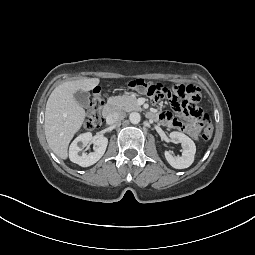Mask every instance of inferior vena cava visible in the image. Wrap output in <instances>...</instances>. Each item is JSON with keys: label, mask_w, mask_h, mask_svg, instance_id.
<instances>
[{"label": "inferior vena cava", "mask_w": 255, "mask_h": 255, "mask_svg": "<svg viewBox=\"0 0 255 255\" xmlns=\"http://www.w3.org/2000/svg\"><path fill=\"white\" fill-rule=\"evenodd\" d=\"M126 116V113L123 111H114L110 115L107 116V123L113 124L119 121H122Z\"/></svg>", "instance_id": "obj_1"}]
</instances>
